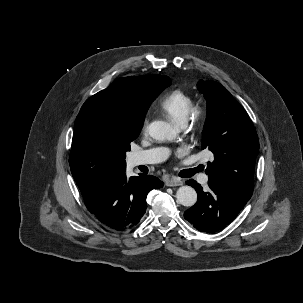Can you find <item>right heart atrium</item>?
<instances>
[{
	"label": "right heart atrium",
	"mask_w": 303,
	"mask_h": 303,
	"mask_svg": "<svg viewBox=\"0 0 303 303\" xmlns=\"http://www.w3.org/2000/svg\"><path fill=\"white\" fill-rule=\"evenodd\" d=\"M146 128H147V121H144L143 126H142V130L146 131Z\"/></svg>",
	"instance_id": "obj_1"
}]
</instances>
